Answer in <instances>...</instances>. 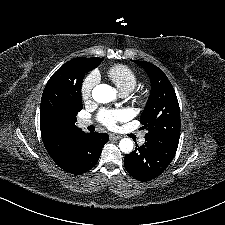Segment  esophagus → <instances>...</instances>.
Instances as JSON below:
<instances>
[{
  "label": "esophagus",
  "mask_w": 225,
  "mask_h": 225,
  "mask_svg": "<svg viewBox=\"0 0 225 225\" xmlns=\"http://www.w3.org/2000/svg\"><path fill=\"white\" fill-rule=\"evenodd\" d=\"M121 137L119 135H116V134H109V139L110 140H119Z\"/></svg>",
  "instance_id": "esophagus-1"
}]
</instances>
